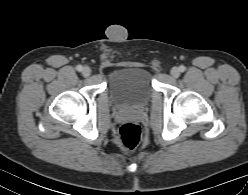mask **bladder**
Masks as SVG:
<instances>
[{"label":"bladder","mask_w":248,"mask_h":195,"mask_svg":"<svg viewBox=\"0 0 248 195\" xmlns=\"http://www.w3.org/2000/svg\"><path fill=\"white\" fill-rule=\"evenodd\" d=\"M108 89L119 105L140 106L146 103L152 94V76L144 67H119L111 73Z\"/></svg>","instance_id":"obj_1"}]
</instances>
